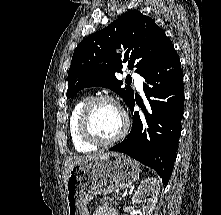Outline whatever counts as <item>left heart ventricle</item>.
<instances>
[{"label":"left heart ventricle","instance_id":"b2bd125f","mask_svg":"<svg viewBox=\"0 0 221 215\" xmlns=\"http://www.w3.org/2000/svg\"><path fill=\"white\" fill-rule=\"evenodd\" d=\"M122 127V116L112 103L102 102L95 106L91 116V128L101 138L114 137Z\"/></svg>","mask_w":221,"mask_h":215}]
</instances>
